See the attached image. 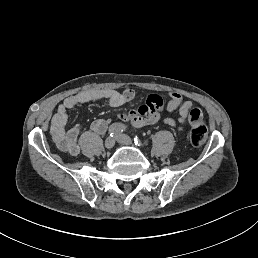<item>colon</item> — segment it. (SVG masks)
Masks as SVG:
<instances>
[{
	"label": "colon",
	"instance_id": "colon-1",
	"mask_svg": "<svg viewBox=\"0 0 258 258\" xmlns=\"http://www.w3.org/2000/svg\"><path fill=\"white\" fill-rule=\"evenodd\" d=\"M190 142L193 146H201L206 142L207 129L203 124L194 125L189 135Z\"/></svg>",
	"mask_w": 258,
	"mask_h": 258
}]
</instances>
